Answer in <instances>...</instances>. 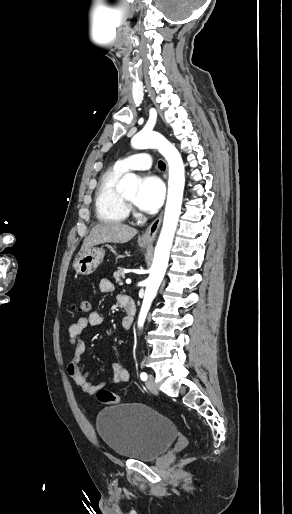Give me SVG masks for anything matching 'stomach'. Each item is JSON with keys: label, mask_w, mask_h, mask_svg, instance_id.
I'll return each instance as SVG.
<instances>
[{"label": "stomach", "mask_w": 292, "mask_h": 514, "mask_svg": "<svg viewBox=\"0 0 292 514\" xmlns=\"http://www.w3.org/2000/svg\"><path fill=\"white\" fill-rule=\"evenodd\" d=\"M141 244L142 246H150L152 242H141ZM104 256L105 252L100 250V248H85V250H81L77 254L73 262V268L77 274L89 276V274H93L97 270Z\"/></svg>", "instance_id": "stomach-1"}]
</instances>
